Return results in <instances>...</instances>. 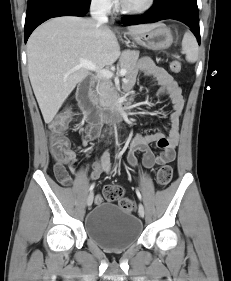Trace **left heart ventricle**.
<instances>
[{
  "instance_id": "obj_1",
  "label": "left heart ventricle",
  "mask_w": 231,
  "mask_h": 281,
  "mask_svg": "<svg viewBox=\"0 0 231 281\" xmlns=\"http://www.w3.org/2000/svg\"><path fill=\"white\" fill-rule=\"evenodd\" d=\"M147 0H123V3L129 7H139L146 3Z\"/></svg>"
}]
</instances>
